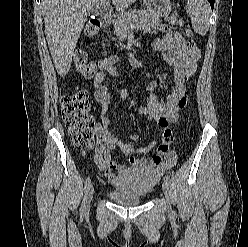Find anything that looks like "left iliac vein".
<instances>
[{
  "mask_svg": "<svg viewBox=\"0 0 248 247\" xmlns=\"http://www.w3.org/2000/svg\"><path fill=\"white\" fill-rule=\"evenodd\" d=\"M162 188H163V193H164V196L166 198V200L169 202V199H170V182L168 179H164L163 183H162ZM169 211L171 212V207L169 205L168 207Z\"/></svg>",
  "mask_w": 248,
  "mask_h": 247,
  "instance_id": "left-iliac-vein-1",
  "label": "left iliac vein"
}]
</instances>
